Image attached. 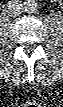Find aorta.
Segmentation results:
<instances>
[{
  "mask_svg": "<svg viewBox=\"0 0 63 107\" xmlns=\"http://www.w3.org/2000/svg\"><path fill=\"white\" fill-rule=\"evenodd\" d=\"M38 9L36 0H26L23 3V10L27 13H34Z\"/></svg>",
  "mask_w": 63,
  "mask_h": 107,
  "instance_id": "aorta-1",
  "label": "aorta"
}]
</instances>
